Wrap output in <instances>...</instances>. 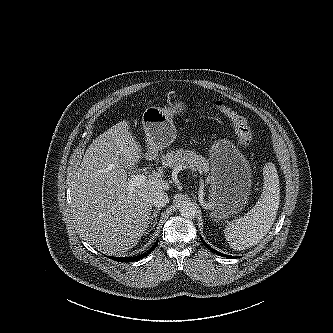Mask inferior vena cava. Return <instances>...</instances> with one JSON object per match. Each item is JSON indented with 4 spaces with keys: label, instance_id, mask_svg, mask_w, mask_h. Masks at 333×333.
Returning a JSON list of instances; mask_svg holds the SVG:
<instances>
[{
    "label": "inferior vena cava",
    "instance_id": "obj_1",
    "mask_svg": "<svg viewBox=\"0 0 333 333\" xmlns=\"http://www.w3.org/2000/svg\"><path fill=\"white\" fill-rule=\"evenodd\" d=\"M169 203V197L165 192H156L152 197V204L155 207H164Z\"/></svg>",
    "mask_w": 333,
    "mask_h": 333
}]
</instances>
